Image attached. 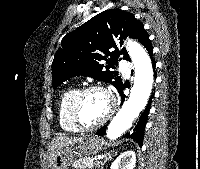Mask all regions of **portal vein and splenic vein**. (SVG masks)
Instances as JSON below:
<instances>
[{"mask_svg":"<svg viewBox=\"0 0 200 169\" xmlns=\"http://www.w3.org/2000/svg\"><path fill=\"white\" fill-rule=\"evenodd\" d=\"M98 164L100 163V161H96Z\"/></svg>","mask_w":200,"mask_h":169,"instance_id":"18ae733b","label":"portal vein and splenic vein"}]
</instances>
